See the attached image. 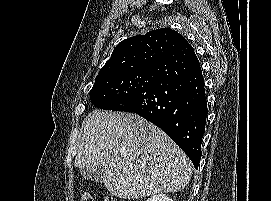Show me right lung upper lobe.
I'll use <instances>...</instances> for the list:
<instances>
[{
    "label": "right lung upper lobe",
    "mask_w": 271,
    "mask_h": 201,
    "mask_svg": "<svg viewBox=\"0 0 271 201\" xmlns=\"http://www.w3.org/2000/svg\"><path fill=\"white\" fill-rule=\"evenodd\" d=\"M183 40L185 38L181 34L168 28L125 39L114 48L111 58L96 78L127 71L151 70Z\"/></svg>",
    "instance_id": "1"
}]
</instances>
